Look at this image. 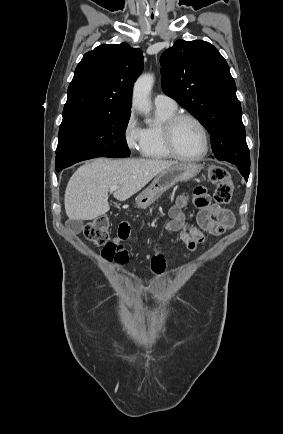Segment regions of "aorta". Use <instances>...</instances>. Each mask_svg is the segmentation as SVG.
Instances as JSON below:
<instances>
[{
    "instance_id": "aorta-1",
    "label": "aorta",
    "mask_w": 283,
    "mask_h": 434,
    "mask_svg": "<svg viewBox=\"0 0 283 434\" xmlns=\"http://www.w3.org/2000/svg\"><path fill=\"white\" fill-rule=\"evenodd\" d=\"M153 84L154 76L152 74L141 75L135 82L132 96V104L139 111H150V92Z\"/></svg>"
}]
</instances>
